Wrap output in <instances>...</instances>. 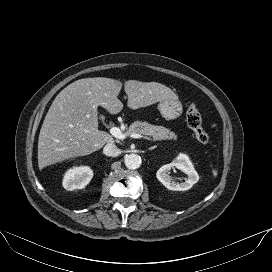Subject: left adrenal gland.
I'll return each mask as SVG.
<instances>
[{
	"label": "left adrenal gland",
	"instance_id": "1",
	"mask_svg": "<svg viewBox=\"0 0 272 272\" xmlns=\"http://www.w3.org/2000/svg\"><path fill=\"white\" fill-rule=\"evenodd\" d=\"M155 148H157V146H153L151 148H149L150 151L154 150Z\"/></svg>",
	"mask_w": 272,
	"mask_h": 272
}]
</instances>
